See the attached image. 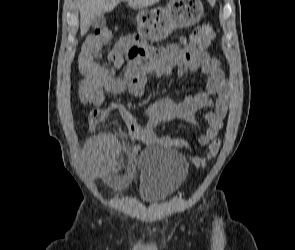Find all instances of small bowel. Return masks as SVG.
<instances>
[{"mask_svg":"<svg viewBox=\"0 0 295 250\" xmlns=\"http://www.w3.org/2000/svg\"><path fill=\"white\" fill-rule=\"evenodd\" d=\"M111 66L95 61L94 70L83 73L79 82V98L82 103L100 107L105 93L121 94L130 92L134 97L144 93L149 76L168 77L173 69L183 76L196 70H202L208 76L204 91L186 96L180 100L162 98L151 102L147 107L148 123L142 127L119 103H112L108 112L118 111L130 133L137 140L131 148L132 155L137 154L142 146H175L190 148L183 138L169 135H157L155 127L161 123L182 119L197 125L195 113L204 108L210 109L205 114L206 130L200 134L196 143L200 147L217 139L224 127L228 112L229 93L224 73L217 59L208 52L198 49L191 41H173L164 47H152L136 34L119 39L108 54ZM122 71V76L117 72ZM119 152L118 141L112 134L105 133L89 139L83 155L90 175L105 179L115 188L127 182L125 175L115 170L116 156Z\"/></svg>","mask_w":295,"mask_h":250,"instance_id":"1","label":"small bowel"}]
</instances>
